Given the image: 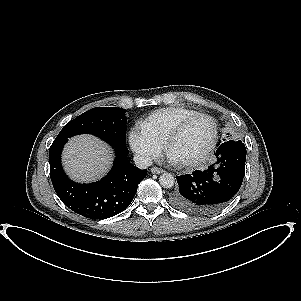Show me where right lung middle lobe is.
Here are the masks:
<instances>
[{
    "mask_svg": "<svg viewBox=\"0 0 301 301\" xmlns=\"http://www.w3.org/2000/svg\"><path fill=\"white\" fill-rule=\"evenodd\" d=\"M125 112V109L116 107L93 108L66 124L56 139H68L87 133L125 144L127 129Z\"/></svg>",
    "mask_w": 301,
    "mask_h": 301,
    "instance_id": "dd1d6c3e",
    "label": "right lung middle lobe"
}]
</instances>
